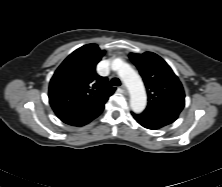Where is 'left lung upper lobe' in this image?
<instances>
[{
  "label": "left lung upper lobe",
  "mask_w": 222,
  "mask_h": 187,
  "mask_svg": "<svg viewBox=\"0 0 222 187\" xmlns=\"http://www.w3.org/2000/svg\"><path fill=\"white\" fill-rule=\"evenodd\" d=\"M145 83L148 94L147 109H167L181 112L184 107V90L170 66L152 52L130 53Z\"/></svg>",
  "instance_id": "obj_1"
}]
</instances>
